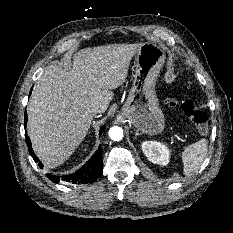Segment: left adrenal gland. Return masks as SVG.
I'll list each match as a JSON object with an SVG mask.
<instances>
[{"label": "left adrenal gland", "instance_id": "left-adrenal-gland-1", "mask_svg": "<svg viewBox=\"0 0 233 233\" xmlns=\"http://www.w3.org/2000/svg\"><path fill=\"white\" fill-rule=\"evenodd\" d=\"M135 135H136V136H137V135H139V132H138V131H136Z\"/></svg>", "mask_w": 233, "mask_h": 233}]
</instances>
